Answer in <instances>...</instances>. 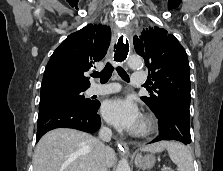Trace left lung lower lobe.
Returning a JSON list of instances; mask_svg holds the SVG:
<instances>
[{"label": "left lung lower lobe", "instance_id": "left-lung-lower-lobe-1", "mask_svg": "<svg viewBox=\"0 0 223 171\" xmlns=\"http://www.w3.org/2000/svg\"><path fill=\"white\" fill-rule=\"evenodd\" d=\"M158 118L159 136L151 143L162 140H176L184 144L191 141L190 112L177 105H168Z\"/></svg>", "mask_w": 223, "mask_h": 171}]
</instances>
